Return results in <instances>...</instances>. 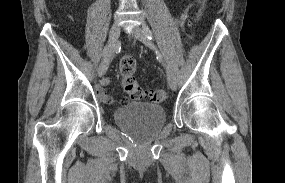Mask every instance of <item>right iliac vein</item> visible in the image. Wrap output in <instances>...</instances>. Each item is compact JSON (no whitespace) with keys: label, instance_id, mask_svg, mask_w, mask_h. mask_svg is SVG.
I'll use <instances>...</instances> for the list:
<instances>
[{"label":"right iliac vein","instance_id":"right-iliac-vein-1","mask_svg":"<svg viewBox=\"0 0 285 183\" xmlns=\"http://www.w3.org/2000/svg\"><path fill=\"white\" fill-rule=\"evenodd\" d=\"M119 36H120V26L119 24L115 23L111 27L110 32H109L108 49H107L106 55L103 58V61L101 62L99 66V69H98L99 76H103L106 73L109 67V64L113 58Z\"/></svg>","mask_w":285,"mask_h":183}]
</instances>
